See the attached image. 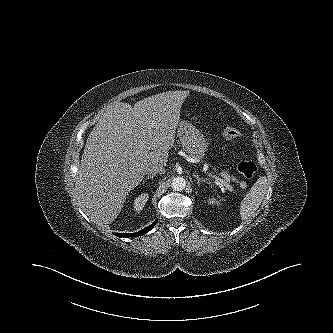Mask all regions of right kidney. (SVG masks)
<instances>
[{"label": "right kidney", "instance_id": "right-kidney-1", "mask_svg": "<svg viewBox=\"0 0 333 333\" xmlns=\"http://www.w3.org/2000/svg\"><path fill=\"white\" fill-rule=\"evenodd\" d=\"M148 198L149 195L147 193H142L139 195V197L134 200V210L141 211L144 208Z\"/></svg>", "mask_w": 333, "mask_h": 333}]
</instances>
